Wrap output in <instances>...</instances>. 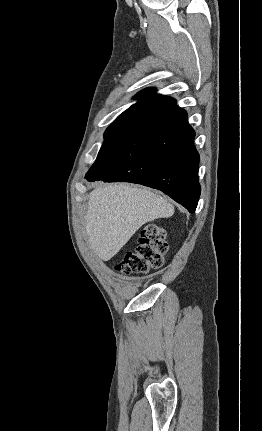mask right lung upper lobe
Returning <instances> with one entry per match:
<instances>
[{
    "mask_svg": "<svg viewBox=\"0 0 262 431\" xmlns=\"http://www.w3.org/2000/svg\"><path fill=\"white\" fill-rule=\"evenodd\" d=\"M154 90L147 88L139 92L135 96L138 102L120 114L111 125L132 126L176 105L175 99L157 95Z\"/></svg>",
    "mask_w": 262,
    "mask_h": 431,
    "instance_id": "obj_1",
    "label": "right lung upper lobe"
}]
</instances>
